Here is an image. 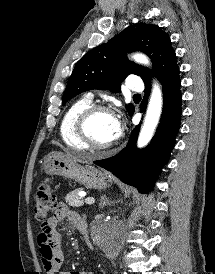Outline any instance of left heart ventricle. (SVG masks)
<instances>
[{"label": "left heart ventricle", "mask_w": 215, "mask_h": 274, "mask_svg": "<svg viewBox=\"0 0 215 274\" xmlns=\"http://www.w3.org/2000/svg\"><path fill=\"white\" fill-rule=\"evenodd\" d=\"M89 132L99 144L112 142L118 136L114 116L105 112L96 114L89 123Z\"/></svg>", "instance_id": "obj_1"}]
</instances>
